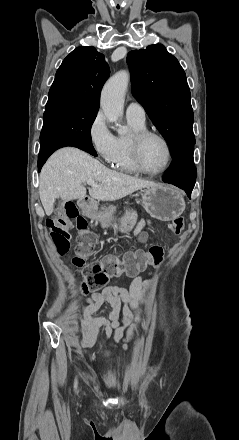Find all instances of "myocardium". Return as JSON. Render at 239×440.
Instances as JSON below:
<instances>
[{
  "mask_svg": "<svg viewBox=\"0 0 239 440\" xmlns=\"http://www.w3.org/2000/svg\"><path fill=\"white\" fill-rule=\"evenodd\" d=\"M149 137H156V138L160 139L164 143V145L167 149V163L163 169L156 171V172L149 171L145 167V165L142 161V155H141L142 145H143L144 141ZM130 150H131V157H132V160H133V163H134L136 169L139 172H141L145 175H148L150 177H156V176H159V175L166 173L172 164V160H173L172 145H171L170 141L168 140V138L164 134H162L161 132H159L157 130H152L149 128H142V129L135 131L130 138Z\"/></svg>",
  "mask_w": 239,
  "mask_h": 440,
  "instance_id": "obj_1",
  "label": "myocardium"
}]
</instances>
